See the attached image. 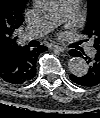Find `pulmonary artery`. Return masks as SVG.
I'll return each mask as SVG.
<instances>
[{
	"label": "pulmonary artery",
	"instance_id": "e3ab8cb5",
	"mask_svg": "<svg viewBox=\"0 0 100 118\" xmlns=\"http://www.w3.org/2000/svg\"><path fill=\"white\" fill-rule=\"evenodd\" d=\"M79 0H60L59 7L51 14L45 15L36 23L26 27V37L29 39L41 37L50 32L59 23L70 19L78 7ZM95 49L89 46L88 54L93 55Z\"/></svg>",
	"mask_w": 100,
	"mask_h": 118
}]
</instances>
